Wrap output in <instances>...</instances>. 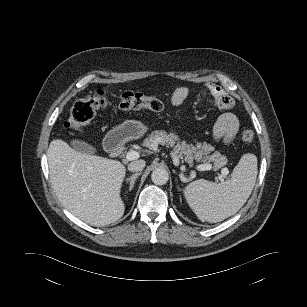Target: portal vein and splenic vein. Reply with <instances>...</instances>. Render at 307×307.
<instances>
[{
    "instance_id": "portal-vein-and-splenic-vein-1",
    "label": "portal vein and splenic vein",
    "mask_w": 307,
    "mask_h": 307,
    "mask_svg": "<svg viewBox=\"0 0 307 307\" xmlns=\"http://www.w3.org/2000/svg\"><path fill=\"white\" fill-rule=\"evenodd\" d=\"M137 158H139V153L137 151L131 150L126 154V159L128 161L135 160ZM212 168L213 167H212L211 164H200V165L196 166V169L199 170V171H207V170H211ZM228 173H229V171H228L227 168L222 169L223 175H227Z\"/></svg>"
}]
</instances>
